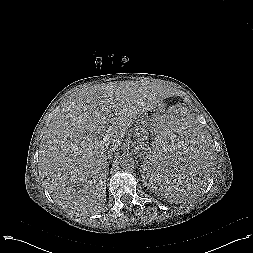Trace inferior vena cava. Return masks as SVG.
Returning a JSON list of instances; mask_svg holds the SVG:
<instances>
[{"label":"inferior vena cava","mask_w":253,"mask_h":253,"mask_svg":"<svg viewBox=\"0 0 253 253\" xmlns=\"http://www.w3.org/2000/svg\"><path fill=\"white\" fill-rule=\"evenodd\" d=\"M115 149H116V148H113V147H112V148H110V151H111V152H115ZM111 155H113V154L108 155L107 158L111 157Z\"/></svg>","instance_id":"602c4592"}]
</instances>
